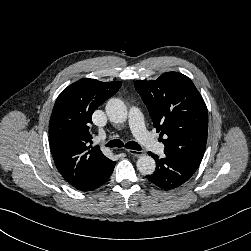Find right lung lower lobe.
I'll use <instances>...</instances> for the list:
<instances>
[{
  "instance_id": "obj_1",
  "label": "right lung lower lobe",
  "mask_w": 251,
  "mask_h": 251,
  "mask_svg": "<svg viewBox=\"0 0 251 251\" xmlns=\"http://www.w3.org/2000/svg\"><path fill=\"white\" fill-rule=\"evenodd\" d=\"M116 162L108 160L95 169L91 170L89 174L74 187L81 191H93L102 186L111 176Z\"/></svg>"
}]
</instances>
